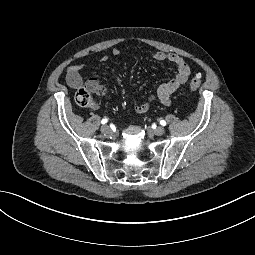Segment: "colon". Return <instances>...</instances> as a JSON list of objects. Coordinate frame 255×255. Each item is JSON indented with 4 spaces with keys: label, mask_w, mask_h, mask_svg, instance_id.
I'll return each mask as SVG.
<instances>
[{
    "label": "colon",
    "mask_w": 255,
    "mask_h": 255,
    "mask_svg": "<svg viewBox=\"0 0 255 255\" xmlns=\"http://www.w3.org/2000/svg\"><path fill=\"white\" fill-rule=\"evenodd\" d=\"M201 84L202 80L198 76L192 77L189 81V87L191 90L198 89ZM75 101L81 107H91L94 104V98L91 91L84 87L79 88L75 92Z\"/></svg>",
    "instance_id": "colon-1"
}]
</instances>
